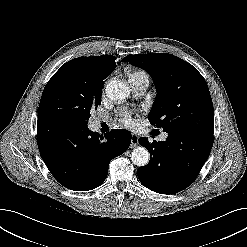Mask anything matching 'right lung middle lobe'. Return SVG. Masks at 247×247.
I'll return each instance as SVG.
<instances>
[{"label":"right lung middle lobe","instance_id":"1","mask_svg":"<svg viewBox=\"0 0 247 247\" xmlns=\"http://www.w3.org/2000/svg\"><path fill=\"white\" fill-rule=\"evenodd\" d=\"M101 94V84L92 79L76 59H72L45 86L38 117L75 128H87L91 110L101 104Z\"/></svg>","mask_w":247,"mask_h":247}]
</instances>
